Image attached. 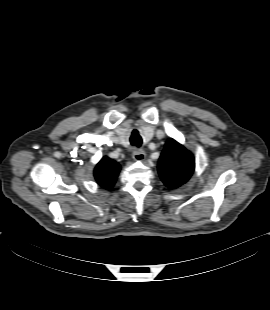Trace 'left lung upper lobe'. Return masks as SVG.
Masks as SVG:
<instances>
[{"instance_id":"left-lung-upper-lobe-1","label":"left lung upper lobe","mask_w":270,"mask_h":310,"mask_svg":"<svg viewBox=\"0 0 270 310\" xmlns=\"http://www.w3.org/2000/svg\"><path fill=\"white\" fill-rule=\"evenodd\" d=\"M195 168L192 154L181 144L170 138L158 162V172L170 189L180 187L191 177Z\"/></svg>"}]
</instances>
